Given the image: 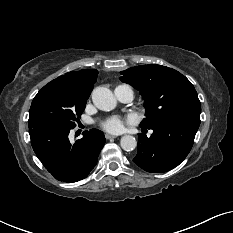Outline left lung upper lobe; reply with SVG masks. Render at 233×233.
<instances>
[{
	"label": "left lung upper lobe",
	"mask_w": 233,
	"mask_h": 233,
	"mask_svg": "<svg viewBox=\"0 0 233 233\" xmlns=\"http://www.w3.org/2000/svg\"><path fill=\"white\" fill-rule=\"evenodd\" d=\"M121 81L139 90L145 99L146 118L141 127L161 121H192L200 124L201 104L192 83L178 71L149 64L122 71Z\"/></svg>",
	"instance_id": "left-lung-upper-lobe-1"
}]
</instances>
